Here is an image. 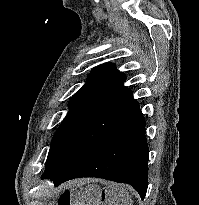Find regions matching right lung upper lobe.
<instances>
[{
    "instance_id": "right-lung-upper-lobe-1",
    "label": "right lung upper lobe",
    "mask_w": 199,
    "mask_h": 205,
    "mask_svg": "<svg viewBox=\"0 0 199 205\" xmlns=\"http://www.w3.org/2000/svg\"><path fill=\"white\" fill-rule=\"evenodd\" d=\"M126 76L113 64H103L88 75L85 85L72 97L70 111L90 110L127 120L136 115L139 104L124 87Z\"/></svg>"
}]
</instances>
